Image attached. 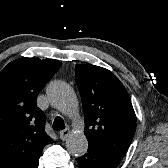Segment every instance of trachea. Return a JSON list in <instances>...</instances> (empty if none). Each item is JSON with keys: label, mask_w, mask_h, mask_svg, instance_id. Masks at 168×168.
I'll return each instance as SVG.
<instances>
[{"label": "trachea", "mask_w": 168, "mask_h": 168, "mask_svg": "<svg viewBox=\"0 0 168 168\" xmlns=\"http://www.w3.org/2000/svg\"><path fill=\"white\" fill-rule=\"evenodd\" d=\"M64 128H65V124L63 119L59 116L56 117L53 122V129L59 131V130H63Z\"/></svg>", "instance_id": "trachea-1"}]
</instances>
